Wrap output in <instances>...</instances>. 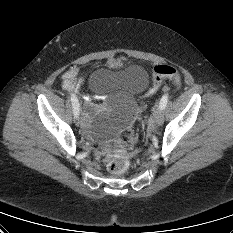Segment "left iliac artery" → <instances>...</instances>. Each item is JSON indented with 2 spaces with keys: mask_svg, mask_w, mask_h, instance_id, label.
<instances>
[{
  "mask_svg": "<svg viewBox=\"0 0 233 233\" xmlns=\"http://www.w3.org/2000/svg\"><path fill=\"white\" fill-rule=\"evenodd\" d=\"M168 97H169L168 94H164L160 100V108L162 110H164L167 105Z\"/></svg>",
  "mask_w": 233,
  "mask_h": 233,
  "instance_id": "left-iliac-artery-1",
  "label": "left iliac artery"
}]
</instances>
